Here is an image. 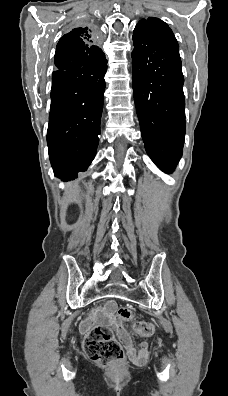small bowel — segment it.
I'll list each match as a JSON object with an SVG mask.
<instances>
[{
	"label": "small bowel",
	"instance_id": "c3829d8e",
	"mask_svg": "<svg viewBox=\"0 0 228 396\" xmlns=\"http://www.w3.org/2000/svg\"><path fill=\"white\" fill-rule=\"evenodd\" d=\"M114 307L115 305L113 302H109L106 305L103 313L104 318L107 320L109 325H111L115 329L118 337L126 348L130 360L137 365L145 363L148 356L147 343L145 341H142L138 349L133 347L129 334L122 327L120 318L115 315Z\"/></svg>",
	"mask_w": 228,
	"mask_h": 396
}]
</instances>
